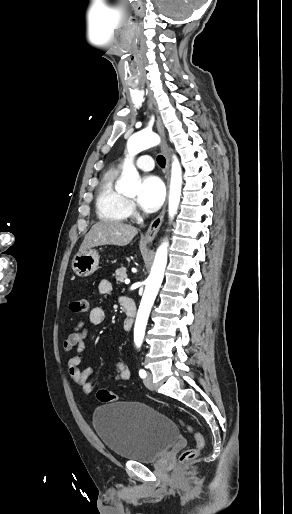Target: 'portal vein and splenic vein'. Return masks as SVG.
<instances>
[{
	"instance_id": "1",
	"label": "portal vein and splenic vein",
	"mask_w": 292,
	"mask_h": 514,
	"mask_svg": "<svg viewBox=\"0 0 292 514\" xmlns=\"http://www.w3.org/2000/svg\"><path fill=\"white\" fill-rule=\"evenodd\" d=\"M125 284H130V280H125Z\"/></svg>"
}]
</instances>
